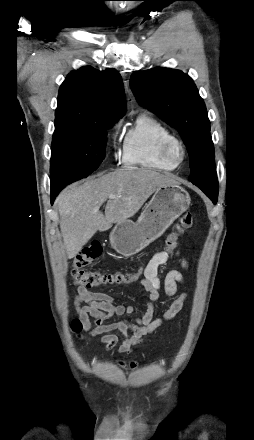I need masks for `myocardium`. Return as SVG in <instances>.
<instances>
[{"mask_svg":"<svg viewBox=\"0 0 254 440\" xmlns=\"http://www.w3.org/2000/svg\"><path fill=\"white\" fill-rule=\"evenodd\" d=\"M174 148H178L181 152V157L179 159H176L173 154ZM159 153L165 162L177 167L185 160L187 152L183 141L180 138L171 135L162 142Z\"/></svg>","mask_w":254,"mask_h":440,"instance_id":"f54148a6","label":"myocardium"}]
</instances>
